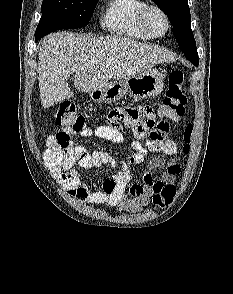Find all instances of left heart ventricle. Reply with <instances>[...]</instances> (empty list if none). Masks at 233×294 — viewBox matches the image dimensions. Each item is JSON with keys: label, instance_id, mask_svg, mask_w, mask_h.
Returning <instances> with one entry per match:
<instances>
[{"label": "left heart ventricle", "instance_id": "b2bd125f", "mask_svg": "<svg viewBox=\"0 0 233 294\" xmlns=\"http://www.w3.org/2000/svg\"><path fill=\"white\" fill-rule=\"evenodd\" d=\"M149 24L152 29L157 33H160L165 29V22L163 18L159 14L154 12L150 13L149 15Z\"/></svg>", "mask_w": 233, "mask_h": 294}]
</instances>
